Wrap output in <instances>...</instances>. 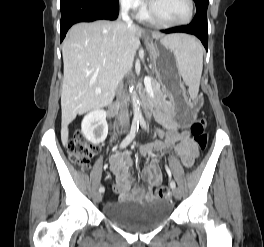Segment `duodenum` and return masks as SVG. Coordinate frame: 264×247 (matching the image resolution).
<instances>
[{"label":"duodenum","mask_w":264,"mask_h":247,"mask_svg":"<svg viewBox=\"0 0 264 247\" xmlns=\"http://www.w3.org/2000/svg\"><path fill=\"white\" fill-rule=\"evenodd\" d=\"M116 110H117V106L116 105H112L110 107V114H113Z\"/></svg>","instance_id":"obj_1"}]
</instances>
